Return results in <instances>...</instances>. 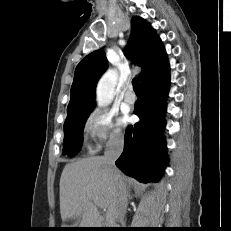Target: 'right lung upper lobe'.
<instances>
[{"mask_svg":"<svg viewBox=\"0 0 231 231\" xmlns=\"http://www.w3.org/2000/svg\"><path fill=\"white\" fill-rule=\"evenodd\" d=\"M132 37L127 55L142 68L141 85L169 71V62L161 39L141 17L131 21ZM107 68L105 53L100 49L87 55L76 67L71 86L67 114H75L95 106L96 84Z\"/></svg>","mask_w":231,"mask_h":231,"instance_id":"cb5924a9","label":"right lung upper lobe"}]
</instances>
